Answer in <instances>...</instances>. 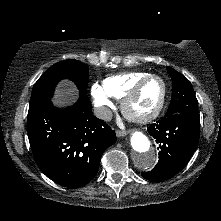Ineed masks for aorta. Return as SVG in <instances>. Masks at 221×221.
Instances as JSON below:
<instances>
[{
	"label": "aorta",
	"mask_w": 221,
	"mask_h": 221,
	"mask_svg": "<svg viewBox=\"0 0 221 221\" xmlns=\"http://www.w3.org/2000/svg\"><path fill=\"white\" fill-rule=\"evenodd\" d=\"M130 145L135 166L141 170L152 169L157 155L148 137L140 131H134L130 138Z\"/></svg>",
	"instance_id": "aorta-1"
}]
</instances>
